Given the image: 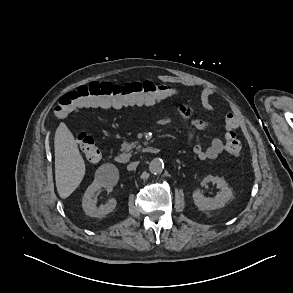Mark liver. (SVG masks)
<instances>
[{"label": "liver", "mask_w": 293, "mask_h": 293, "mask_svg": "<svg viewBox=\"0 0 293 293\" xmlns=\"http://www.w3.org/2000/svg\"><path fill=\"white\" fill-rule=\"evenodd\" d=\"M55 181L61 198L69 197L85 175V163L77 143L65 123L55 133Z\"/></svg>", "instance_id": "liver-1"}]
</instances>
